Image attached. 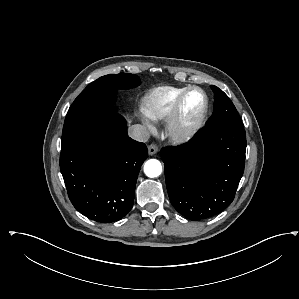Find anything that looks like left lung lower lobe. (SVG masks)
Wrapping results in <instances>:
<instances>
[{
  "label": "left lung lower lobe",
  "mask_w": 299,
  "mask_h": 299,
  "mask_svg": "<svg viewBox=\"0 0 299 299\" xmlns=\"http://www.w3.org/2000/svg\"><path fill=\"white\" fill-rule=\"evenodd\" d=\"M246 133L236 125L206 126L161 159L170 201L187 219L219 214L234 199L244 172Z\"/></svg>",
  "instance_id": "obj_1"
}]
</instances>
